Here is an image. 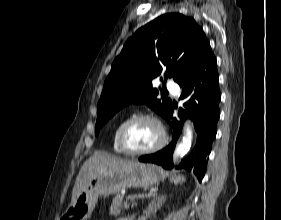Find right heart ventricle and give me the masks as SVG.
Here are the masks:
<instances>
[{
  "mask_svg": "<svg viewBox=\"0 0 281 220\" xmlns=\"http://www.w3.org/2000/svg\"><path fill=\"white\" fill-rule=\"evenodd\" d=\"M124 122V120L119 121L116 126L114 127V130L112 132V136H111V144H112V150L117 153V154H125L120 147L118 146L117 143V133H118V129L121 126V124Z\"/></svg>",
  "mask_w": 281,
  "mask_h": 220,
  "instance_id": "right-heart-ventricle-1",
  "label": "right heart ventricle"
}]
</instances>
